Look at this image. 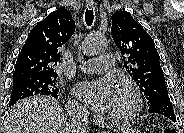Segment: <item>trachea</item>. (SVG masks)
<instances>
[{"label": "trachea", "instance_id": "trachea-1", "mask_svg": "<svg viewBox=\"0 0 184 133\" xmlns=\"http://www.w3.org/2000/svg\"><path fill=\"white\" fill-rule=\"evenodd\" d=\"M94 20V13H93V9H86L85 12V22L87 24V26H91Z\"/></svg>", "mask_w": 184, "mask_h": 133}]
</instances>
